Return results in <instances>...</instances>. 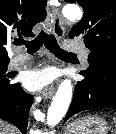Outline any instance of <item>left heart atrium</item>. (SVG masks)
<instances>
[{"mask_svg": "<svg viewBox=\"0 0 116 134\" xmlns=\"http://www.w3.org/2000/svg\"><path fill=\"white\" fill-rule=\"evenodd\" d=\"M55 75L49 69L30 71L24 76V86L30 91H38L49 85Z\"/></svg>", "mask_w": 116, "mask_h": 134, "instance_id": "1", "label": "left heart atrium"}]
</instances>
